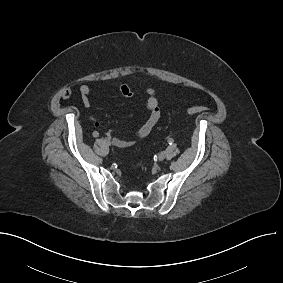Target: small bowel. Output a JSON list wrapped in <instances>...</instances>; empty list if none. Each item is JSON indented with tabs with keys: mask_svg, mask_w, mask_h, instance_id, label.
Returning <instances> with one entry per match:
<instances>
[{
	"mask_svg": "<svg viewBox=\"0 0 283 283\" xmlns=\"http://www.w3.org/2000/svg\"><path fill=\"white\" fill-rule=\"evenodd\" d=\"M120 93L125 97H133L134 92L124 83L119 84L118 86ZM81 94V100L84 106L89 107L91 105V95L92 89L83 84L79 88ZM147 99H146V109L148 111V117L146 121L139 127L131 137L129 138H113V144L119 148H125L133 145L136 140L147 137L156 124L158 123L161 113L159 109L158 99L155 93V90L151 87L146 88ZM100 124L98 121H94V126L98 127ZM113 131L107 133L108 136H112Z\"/></svg>",
	"mask_w": 283,
	"mask_h": 283,
	"instance_id": "obj_1",
	"label": "small bowel"
}]
</instances>
